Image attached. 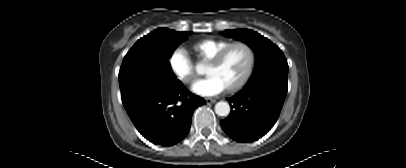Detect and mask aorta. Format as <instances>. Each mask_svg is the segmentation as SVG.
Instances as JSON below:
<instances>
[{"mask_svg": "<svg viewBox=\"0 0 406 168\" xmlns=\"http://www.w3.org/2000/svg\"><path fill=\"white\" fill-rule=\"evenodd\" d=\"M197 72H200L201 65L196 66ZM215 113L218 116H228L230 113V105L227 102L220 101L215 105Z\"/></svg>", "mask_w": 406, "mask_h": 168, "instance_id": "762f6f07", "label": "aorta"}]
</instances>
